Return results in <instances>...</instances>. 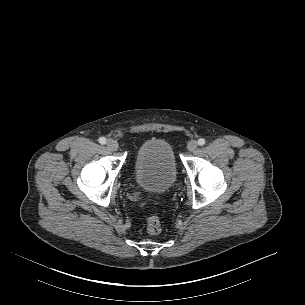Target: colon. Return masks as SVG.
Here are the masks:
<instances>
[{"label":"colon","instance_id":"obj_1","mask_svg":"<svg viewBox=\"0 0 305 305\" xmlns=\"http://www.w3.org/2000/svg\"><path fill=\"white\" fill-rule=\"evenodd\" d=\"M146 229L150 234H158L162 229V221L158 215H151L146 221Z\"/></svg>","mask_w":305,"mask_h":305}]
</instances>
